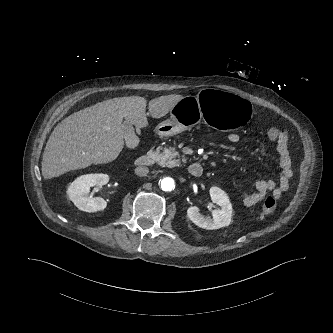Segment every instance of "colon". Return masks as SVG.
<instances>
[{
    "label": "colon",
    "instance_id": "colon-1",
    "mask_svg": "<svg viewBox=\"0 0 333 333\" xmlns=\"http://www.w3.org/2000/svg\"><path fill=\"white\" fill-rule=\"evenodd\" d=\"M282 131L276 128H270L267 132V137L271 141H277L281 136ZM276 208V200L273 197H267L262 205L261 214L263 216L271 214Z\"/></svg>",
    "mask_w": 333,
    "mask_h": 333
}]
</instances>
